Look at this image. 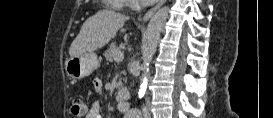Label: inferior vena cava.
Returning <instances> with one entry per match:
<instances>
[{
    "mask_svg": "<svg viewBox=\"0 0 273 118\" xmlns=\"http://www.w3.org/2000/svg\"><path fill=\"white\" fill-rule=\"evenodd\" d=\"M142 111H143L144 117H145V118H149L150 113H149L147 107L143 106Z\"/></svg>",
    "mask_w": 273,
    "mask_h": 118,
    "instance_id": "inferior-vena-cava-1",
    "label": "inferior vena cava"
}]
</instances>
